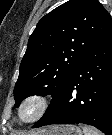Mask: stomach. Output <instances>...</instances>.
<instances>
[{
    "instance_id": "stomach-1",
    "label": "stomach",
    "mask_w": 112,
    "mask_h": 135,
    "mask_svg": "<svg viewBox=\"0 0 112 135\" xmlns=\"http://www.w3.org/2000/svg\"><path fill=\"white\" fill-rule=\"evenodd\" d=\"M29 135H83V133L78 126L60 125L45 129L43 134L35 132Z\"/></svg>"
}]
</instances>
